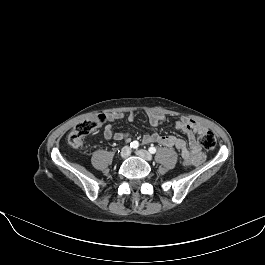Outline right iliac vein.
Wrapping results in <instances>:
<instances>
[{
  "label": "right iliac vein",
  "mask_w": 265,
  "mask_h": 265,
  "mask_svg": "<svg viewBox=\"0 0 265 265\" xmlns=\"http://www.w3.org/2000/svg\"><path fill=\"white\" fill-rule=\"evenodd\" d=\"M130 153H131L130 148L128 146H125L121 149L120 157L122 159H125L130 155Z\"/></svg>",
  "instance_id": "63e3f726"
}]
</instances>
